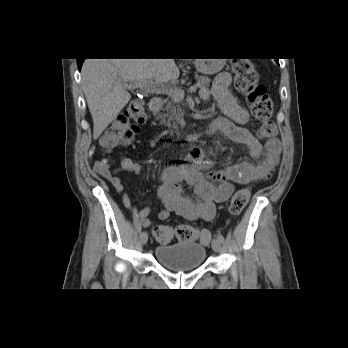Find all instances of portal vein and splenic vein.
Returning a JSON list of instances; mask_svg holds the SVG:
<instances>
[{"label":"portal vein and splenic vein","instance_id":"portal-vein-and-splenic-vein-1","mask_svg":"<svg viewBox=\"0 0 348 348\" xmlns=\"http://www.w3.org/2000/svg\"><path fill=\"white\" fill-rule=\"evenodd\" d=\"M125 87L127 88H140V89H145L149 92H157V93H163L171 96L175 101H180L184 98L185 92L184 90L173 87L170 85H165L162 83H156L153 82L152 80H140V81H135V82H130L125 83ZM197 87L196 86H191L188 89V92L194 93L196 92Z\"/></svg>","mask_w":348,"mask_h":348}]
</instances>
